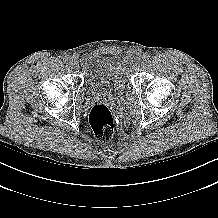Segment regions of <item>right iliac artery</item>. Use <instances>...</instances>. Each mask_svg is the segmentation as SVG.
<instances>
[{"label":"right iliac artery","instance_id":"1","mask_svg":"<svg viewBox=\"0 0 218 218\" xmlns=\"http://www.w3.org/2000/svg\"><path fill=\"white\" fill-rule=\"evenodd\" d=\"M69 60H70L69 56H65V57L63 58V62H64V63H68Z\"/></svg>","mask_w":218,"mask_h":218}]
</instances>
